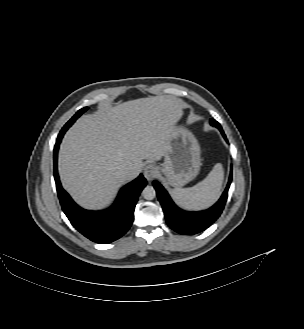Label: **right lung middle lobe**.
<instances>
[{"label": "right lung middle lobe", "mask_w": 304, "mask_h": 329, "mask_svg": "<svg viewBox=\"0 0 304 329\" xmlns=\"http://www.w3.org/2000/svg\"><path fill=\"white\" fill-rule=\"evenodd\" d=\"M88 109V107H84L82 109H80L62 128L61 131L66 132L68 130V128L76 121V119L78 117H80L86 110Z\"/></svg>", "instance_id": "right-lung-middle-lobe-1"}]
</instances>
